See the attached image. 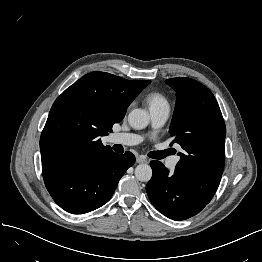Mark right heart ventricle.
Returning a JSON list of instances; mask_svg holds the SVG:
<instances>
[{"instance_id": "e07e8e85", "label": "right heart ventricle", "mask_w": 262, "mask_h": 262, "mask_svg": "<svg viewBox=\"0 0 262 262\" xmlns=\"http://www.w3.org/2000/svg\"><path fill=\"white\" fill-rule=\"evenodd\" d=\"M147 103L149 105V108L162 106V105H168V102L166 98L161 95L160 93H150L147 96Z\"/></svg>"}]
</instances>
